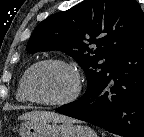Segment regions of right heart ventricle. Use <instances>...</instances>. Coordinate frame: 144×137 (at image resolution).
I'll return each instance as SVG.
<instances>
[{"mask_svg": "<svg viewBox=\"0 0 144 137\" xmlns=\"http://www.w3.org/2000/svg\"><path fill=\"white\" fill-rule=\"evenodd\" d=\"M23 79H24V75L22 76V78L19 82L18 91H17V99L19 101H27V98L23 92Z\"/></svg>", "mask_w": 144, "mask_h": 137, "instance_id": "e07e8e85", "label": "right heart ventricle"}]
</instances>
